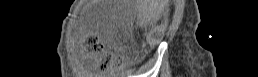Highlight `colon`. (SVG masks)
<instances>
[{"mask_svg":"<svg viewBox=\"0 0 258 77\" xmlns=\"http://www.w3.org/2000/svg\"><path fill=\"white\" fill-rule=\"evenodd\" d=\"M81 47L83 48V51L90 56L97 55L102 52V45L98 41L97 37H95L94 35L87 36L82 42ZM111 65H114L115 67H120L122 65V62L119 59H113L111 56L106 55L100 62V71L103 72Z\"/></svg>","mask_w":258,"mask_h":77,"instance_id":"1","label":"colon"}]
</instances>
